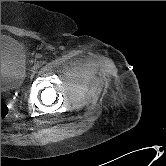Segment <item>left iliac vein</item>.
<instances>
[{
  "label": "left iliac vein",
  "mask_w": 166,
  "mask_h": 166,
  "mask_svg": "<svg viewBox=\"0 0 166 166\" xmlns=\"http://www.w3.org/2000/svg\"><path fill=\"white\" fill-rule=\"evenodd\" d=\"M37 69H38V66L37 65H34L33 67H32V73H36L37 72Z\"/></svg>",
  "instance_id": "1"
}]
</instances>
